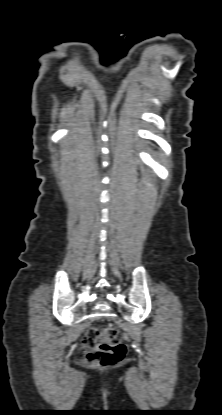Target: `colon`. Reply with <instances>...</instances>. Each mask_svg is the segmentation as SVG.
<instances>
[{"label":"colon","mask_w":222,"mask_h":415,"mask_svg":"<svg viewBox=\"0 0 222 415\" xmlns=\"http://www.w3.org/2000/svg\"><path fill=\"white\" fill-rule=\"evenodd\" d=\"M118 335V329L113 326L89 328L84 338V345L89 349L86 353L87 362L106 367L122 363L128 349Z\"/></svg>","instance_id":"1"}]
</instances>
